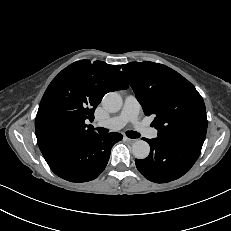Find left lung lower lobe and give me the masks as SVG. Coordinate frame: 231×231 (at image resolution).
<instances>
[{
	"mask_svg": "<svg viewBox=\"0 0 231 231\" xmlns=\"http://www.w3.org/2000/svg\"><path fill=\"white\" fill-rule=\"evenodd\" d=\"M151 151L147 158L135 160L136 167L148 180L166 183L187 173L198 159L204 140L189 136H158L146 139Z\"/></svg>",
	"mask_w": 231,
	"mask_h": 231,
	"instance_id": "0a47b994",
	"label": "left lung lower lobe"
}]
</instances>
